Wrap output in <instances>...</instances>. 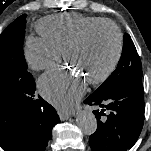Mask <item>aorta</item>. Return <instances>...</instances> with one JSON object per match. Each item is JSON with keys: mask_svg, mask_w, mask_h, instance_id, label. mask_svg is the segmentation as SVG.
Returning <instances> with one entry per match:
<instances>
[{"mask_svg": "<svg viewBox=\"0 0 151 151\" xmlns=\"http://www.w3.org/2000/svg\"><path fill=\"white\" fill-rule=\"evenodd\" d=\"M77 125L85 135H92L97 129V120L93 113L82 111L77 115Z\"/></svg>", "mask_w": 151, "mask_h": 151, "instance_id": "aorta-1", "label": "aorta"}]
</instances>
